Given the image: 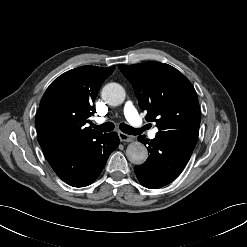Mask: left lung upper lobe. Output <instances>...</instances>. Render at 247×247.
Returning a JSON list of instances; mask_svg holds the SVG:
<instances>
[{
	"instance_id": "left-lung-upper-lobe-1",
	"label": "left lung upper lobe",
	"mask_w": 247,
	"mask_h": 247,
	"mask_svg": "<svg viewBox=\"0 0 247 247\" xmlns=\"http://www.w3.org/2000/svg\"><path fill=\"white\" fill-rule=\"evenodd\" d=\"M133 85L146 120L155 121L156 136L197 142L201 120L199 102L191 82L174 67L157 62L119 65Z\"/></svg>"
}]
</instances>
